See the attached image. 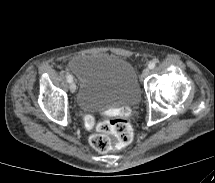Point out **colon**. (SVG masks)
I'll return each instance as SVG.
<instances>
[{
    "label": "colon",
    "instance_id": "5ec220e1",
    "mask_svg": "<svg viewBox=\"0 0 215 183\" xmlns=\"http://www.w3.org/2000/svg\"><path fill=\"white\" fill-rule=\"evenodd\" d=\"M131 111L128 107L120 108L117 115L110 112L107 117L97 122V133L90 136L91 146L99 152H107L112 149V142L109 135L117 137V148H125L133 138V130L129 122Z\"/></svg>",
    "mask_w": 215,
    "mask_h": 183
}]
</instances>
